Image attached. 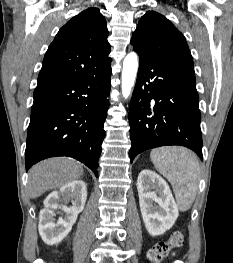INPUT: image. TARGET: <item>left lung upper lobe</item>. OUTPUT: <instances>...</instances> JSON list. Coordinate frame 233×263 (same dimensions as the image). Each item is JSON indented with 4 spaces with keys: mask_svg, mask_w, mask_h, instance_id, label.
<instances>
[{
    "mask_svg": "<svg viewBox=\"0 0 233 263\" xmlns=\"http://www.w3.org/2000/svg\"><path fill=\"white\" fill-rule=\"evenodd\" d=\"M131 44L139 55L193 65L185 37L157 12L148 11L141 17Z\"/></svg>",
    "mask_w": 233,
    "mask_h": 263,
    "instance_id": "left-lung-upper-lobe-1",
    "label": "left lung upper lobe"
}]
</instances>
